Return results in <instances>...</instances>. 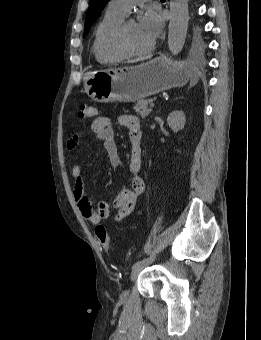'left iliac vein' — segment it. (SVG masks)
Here are the masks:
<instances>
[{
    "instance_id": "obj_1",
    "label": "left iliac vein",
    "mask_w": 261,
    "mask_h": 340,
    "mask_svg": "<svg viewBox=\"0 0 261 340\" xmlns=\"http://www.w3.org/2000/svg\"><path fill=\"white\" fill-rule=\"evenodd\" d=\"M143 266H139L136 267L132 270L131 272V276H130V280L131 281H135L136 278L138 277V274L140 273V271L142 270ZM129 291L128 290H124L121 295H120V300L121 301H125L128 297Z\"/></svg>"
}]
</instances>
